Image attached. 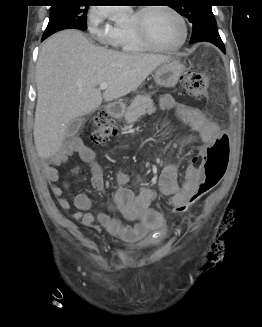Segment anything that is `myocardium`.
Here are the masks:
<instances>
[{"instance_id": "obj_1", "label": "myocardium", "mask_w": 262, "mask_h": 327, "mask_svg": "<svg viewBox=\"0 0 262 327\" xmlns=\"http://www.w3.org/2000/svg\"><path fill=\"white\" fill-rule=\"evenodd\" d=\"M165 9L169 12H171L181 23L182 26V37L181 40L171 46H164L156 43L151 36L148 34V32L145 29L144 25V17L147 12L154 10V9ZM130 29L134 32V34L138 37V39L149 49L155 50V51H175L180 49L187 41L188 39V25L186 22V19L184 16L173 6L167 5V4H160V5H150L141 7L139 10H137L134 14V23L131 24Z\"/></svg>"}]
</instances>
